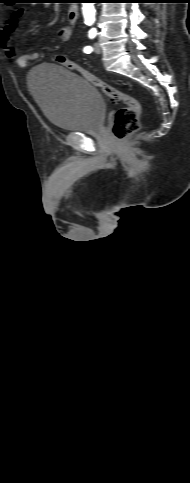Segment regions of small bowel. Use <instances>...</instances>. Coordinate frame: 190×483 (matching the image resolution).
I'll list each match as a JSON object with an SVG mask.
<instances>
[{
  "instance_id": "obj_1",
  "label": "small bowel",
  "mask_w": 190,
  "mask_h": 483,
  "mask_svg": "<svg viewBox=\"0 0 190 483\" xmlns=\"http://www.w3.org/2000/svg\"><path fill=\"white\" fill-rule=\"evenodd\" d=\"M28 9L27 6H22L15 9L9 19L5 22V24L0 28V47L4 50L6 56L10 59H13L15 64L19 68H26L29 65V62L35 58H37V54H29V55H18L16 50L13 46H11L10 41L17 29L18 20L21 16L26 12ZM72 34V27L69 25L60 27L56 32V37L59 40L67 41L70 39Z\"/></svg>"
}]
</instances>
